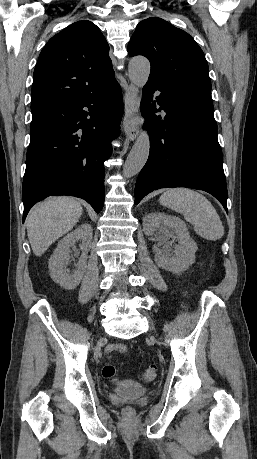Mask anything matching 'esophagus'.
Returning a JSON list of instances; mask_svg holds the SVG:
<instances>
[{"instance_id":"obj_1","label":"esophagus","mask_w":257,"mask_h":459,"mask_svg":"<svg viewBox=\"0 0 257 459\" xmlns=\"http://www.w3.org/2000/svg\"><path fill=\"white\" fill-rule=\"evenodd\" d=\"M140 98L134 84L130 83L125 92L124 133L130 141L136 139L139 133L138 123L134 119L139 111Z\"/></svg>"}]
</instances>
